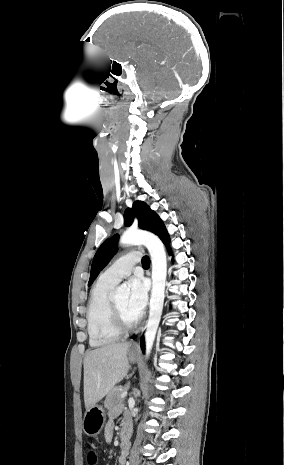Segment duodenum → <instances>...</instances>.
Here are the masks:
<instances>
[{"label": "duodenum", "mask_w": 284, "mask_h": 465, "mask_svg": "<svg viewBox=\"0 0 284 465\" xmlns=\"http://www.w3.org/2000/svg\"><path fill=\"white\" fill-rule=\"evenodd\" d=\"M128 437H129L128 433H126L125 431H122V432H121V438H122V440L125 441V440L128 439Z\"/></svg>", "instance_id": "410a0bca"}]
</instances>
